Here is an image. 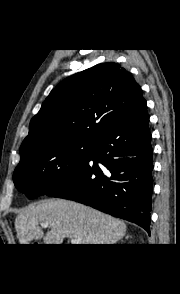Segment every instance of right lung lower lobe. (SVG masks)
<instances>
[{
	"label": "right lung lower lobe",
	"instance_id": "obj_1",
	"mask_svg": "<svg viewBox=\"0 0 180 294\" xmlns=\"http://www.w3.org/2000/svg\"><path fill=\"white\" fill-rule=\"evenodd\" d=\"M146 101L99 135L88 160L49 192L89 205L144 228L152 205V146Z\"/></svg>",
	"mask_w": 180,
	"mask_h": 294
}]
</instances>
